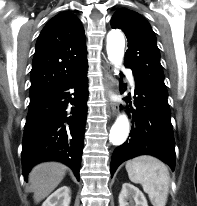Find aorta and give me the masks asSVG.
I'll return each instance as SVG.
<instances>
[{
    "label": "aorta",
    "instance_id": "762f6f07",
    "mask_svg": "<svg viewBox=\"0 0 197 206\" xmlns=\"http://www.w3.org/2000/svg\"><path fill=\"white\" fill-rule=\"evenodd\" d=\"M125 40L119 30H112L107 35V55L108 59L119 68L124 57ZM117 74L118 71L116 70ZM129 134V121L126 115L121 114L111 127L109 141L114 145H121L125 142Z\"/></svg>",
    "mask_w": 197,
    "mask_h": 206
}]
</instances>
